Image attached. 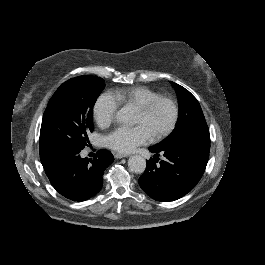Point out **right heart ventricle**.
Here are the masks:
<instances>
[{
    "label": "right heart ventricle",
    "mask_w": 265,
    "mask_h": 265,
    "mask_svg": "<svg viewBox=\"0 0 265 265\" xmlns=\"http://www.w3.org/2000/svg\"><path fill=\"white\" fill-rule=\"evenodd\" d=\"M110 94L123 109L131 107L136 110L141 108L149 100L160 96L156 91L145 86L116 88Z\"/></svg>",
    "instance_id": "obj_1"
}]
</instances>
